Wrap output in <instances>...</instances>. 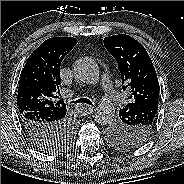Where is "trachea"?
I'll return each mask as SVG.
<instances>
[{
    "label": "trachea",
    "instance_id": "3493384b",
    "mask_svg": "<svg viewBox=\"0 0 184 184\" xmlns=\"http://www.w3.org/2000/svg\"><path fill=\"white\" fill-rule=\"evenodd\" d=\"M72 103H86V104H89V105H93L92 102L87 98H80L76 101H73Z\"/></svg>",
    "mask_w": 184,
    "mask_h": 184
}]
</instances>
